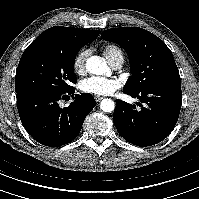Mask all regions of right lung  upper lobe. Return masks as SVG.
Masks as SVG:
<instances>
[{
	"instance_id": "right-lung-upper-lobe-1",
	"label": "right lung upper lobe",
	"mask_w": 199,
	"mask_h": 199,
	"mask_svg": "<svg viewBox=\"0 0 199 199\" xmlns=\"http://www.w3.org/2000/svg\"><path fill=\"white\" fill-rule=\"evenodd\" d=\"M99 34V30L54 26L41 33L35 40L47 41L61 47L69 48L86 45L94 41Z\"/></svg>"
}]
</instances>
